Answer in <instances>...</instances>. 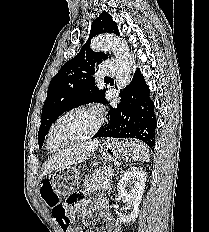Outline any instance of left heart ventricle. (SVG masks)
<instances>
[{"label": "left heart ventricle", "mask_w": 209, "mask_h": 232, "mask_svg": "<svg viewBox=\"0 0 209 232\" xmlns=\"http://www.w3.org/2000/svg\"><path fill=\"white\" fill-rule=\"evenodd\" d=\"M93 123L91 116L77 112L66 117L54 131L50 147L56 149L66 137L79 134L86 130Z\"/></svg>", "instance_id": "b2bd125f"}]
</instances>
